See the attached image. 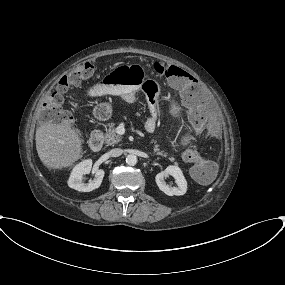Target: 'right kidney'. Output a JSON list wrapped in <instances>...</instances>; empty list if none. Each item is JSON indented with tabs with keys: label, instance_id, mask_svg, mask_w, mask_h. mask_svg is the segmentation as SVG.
Instances as JSON below:
<instances>
[{
	"label": "right kidney",
	"instance_id": "1",
	"mask_svg": "<svg viewBox=\"0 0 285 285\" xmlns=\"http://www.w3.org/2000/svg\"><path fill=\"white\" fill-rule=\"evenodd\" d=\"M92 169V160L87 159L79 164H77L69 177L68 186L72 189H75L80 192H91L100 187L103 177L104 170L98 169L95 171L94 180H90L88 183H83V177L86 174H89Z\"/></svg>",
	"mask_w": 285,
	"mask_h": 285
}]
</instances>
